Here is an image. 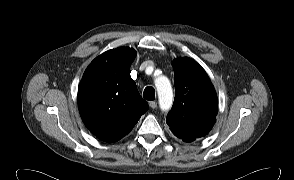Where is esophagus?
I'll list each match as a JSON object with an SVG mask.
<instances>
[{
    "label": "esophagus",
    "instance_id": "obj_1",
    "mask_svg": "<svg viewBox=\"0 0 294 180\" xmlns=\"http://www.w3.org/2000/svg\"><path fill=\"white\" fill-rule=\"evenodd\" d=\"M149 106L152 108V109H155L157 107V102L156 101H150L149 102Z\"/></svg>",
    "mask_w": 294,
    "mask_h": 180
}]
</instances>
